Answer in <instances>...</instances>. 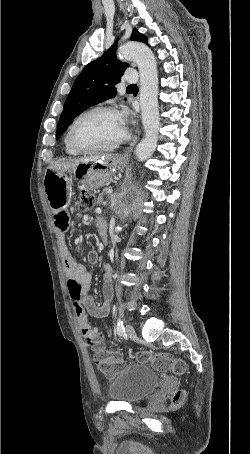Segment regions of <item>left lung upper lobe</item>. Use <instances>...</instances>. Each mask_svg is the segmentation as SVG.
<instances>
[{
  "mask_svg": "<svg viewBox=\"0 0 250 454\" xmlns=\"http://www.w3.org/2000/svg\"><path fill=\"white\" fill-rule=\"evenodd\" d=\"M131 40L148 44L147 37L136 29ZM115 51L116 45H113L100 58L87 64L76 78L57 124V138L81 112L116 95L115 85L121 81L128 64L119 61Z\"/></svg>",
  "mask_w": 250,
  "mask_h": 454,
  "instance_id": "1",
  "label": "left lung upper lobe"
}]
</instances>
